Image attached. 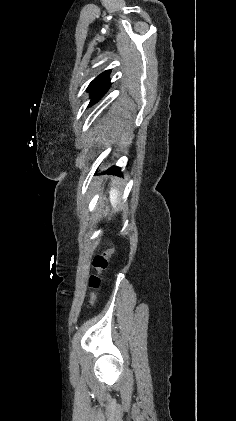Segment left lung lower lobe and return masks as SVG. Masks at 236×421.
<instances>
[{"instance_id": "left-lung-lower-lobe-1", "label": "left lung lower lobe", "mask_w": 236, "mask_h": 421, "mask_svg": "<svg viewBox=\"0 0 236 421\" xmlns=\"http://www.w3.org/2000/svg\"><path fill=\"white\" fill-rule=\"evenodd\" d=\"M120 168L119 167H111L108 171H106L105 173H112V174H116V175H120L121 176V172H120Z\"/></svg>"}]
</instances>
